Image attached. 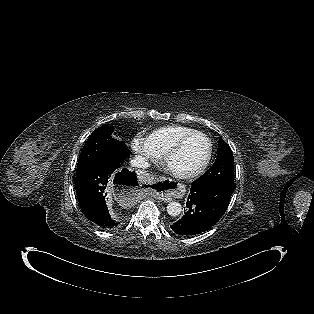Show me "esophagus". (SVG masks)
Wrapping results in <instances>:
<instances>
[{
	"mask_svg": "<svg viewBox=\"0 0 314 314\" xmlns=\"http://www.w3.org/2000/svg\"><path fill=\"white\" fill-rule=\"evenodd\" d=\"M169 187H170L169 185L166 186V188H169ZM183 191H184L183 185L178 183L177 188L175 190L167 191L168 193H166L165 195L162 194V197H159V198L165 202L172 200V197L180 199L183 197Z\"/></svg>",
	"mask_w": 314,
	"mask_h": 314,
	"instance_id": "1",
	"label": "esophagus"
}]
</instances>
